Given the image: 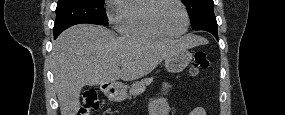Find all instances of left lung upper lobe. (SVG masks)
I'll list each match as a JSON object with an SVG mask.
<instances>
[{
  "mask_svg": "<svg viewBox=\"0 0 285 115\" xmlns=\"http://www.w3.org/2000/svg\"><path fill=\"white\" fill-rule=\"evenodd\" d=\"M187 7L191 26L196 30L202 23L215 20L213 0H182Z\"/></svg>",
  "mask_w": 285,
  "mask_h": 115,
  "instance_id": "left-lung-upper-lobe-1",
  "label": "left lung upper lobe"
}]
</instances>
